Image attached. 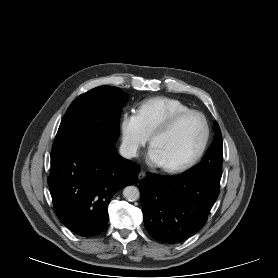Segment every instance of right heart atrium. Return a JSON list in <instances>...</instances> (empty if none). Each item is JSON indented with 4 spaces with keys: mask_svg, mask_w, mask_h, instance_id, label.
I'll return each mask as SVG.
<instances>
[{
    "mask_svg": "<svg viewBox=\"0 0 278 278\" xmlns=\"http://www.w3.org/2000/svg\"><path fill=\"white\" fill-rule=\"evenodd\" d=\"M119 130L122 149L129 157L137 156L150 137L139 115L134 111H125L121 114Z\"/></svg>",
    "mask_w": 278,
    "mask_h": 278,
    "instance_id": "obj_1",
    "label": "right heart atrium"
}]
</instances>
